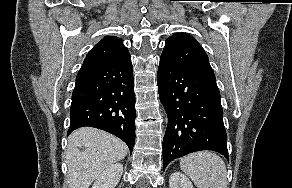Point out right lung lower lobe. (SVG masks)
I'll use <instances>...</instances> for the list:
<instances>
[{
	"label": "right lung lower lobe",
	"instance_id": "obj_1",
	"mask_svg": "<svg viewBox=\"0 0 292 188\" xmlns=\"http://www.w3.org/2000/svg\"><path fill=\"white\" fill-rule=\"evenodd\" d=\"M131 56L84 62L76 77L68 134L83 126L107 131L132 152L135 143V94Z\"/></svg>",
	"mask_w": 292,
	"mask_h": 188
}]
</instances>
